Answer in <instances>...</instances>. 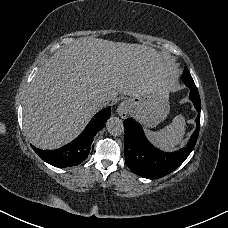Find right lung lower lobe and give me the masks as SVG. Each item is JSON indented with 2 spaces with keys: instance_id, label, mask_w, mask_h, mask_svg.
<instances>
[{
  "instance_id": "right-lung-lower-lobe-1",
  "label": "right lung lower lobe",
  "mask_w": 228,
  "mask_h": 228,
  "mask_svg": "<svg viewBox=\"0 0 228 228\" xmlns=\"http://www.w3.org/2000/svg\"><path fill=\"white\" fill-rule=\"evenodd\" d=\"M111 107L98 112L88 123L84 131L71 143L56 150H40L32 146L33 150L47 163L56 167H70L84 161L93 149V139L101 130L111 115Z\"/></svg>"
}]
</instances>
